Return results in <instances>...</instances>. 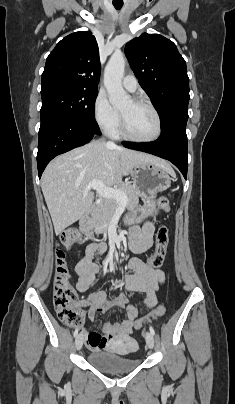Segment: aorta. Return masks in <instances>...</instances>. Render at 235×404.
Returning a JSON list of instances; mask_svg holds the SVG:
<instances>
[{"label":"aorta","instance_id":"762f6f07","mask_svg":"<svg viewBox=\"0 0 235 404\" xmlns=\"http://www.w3.org/2000/svg\"><path fill=\"white\" fill-rule=\"evenodd\" d=\"M125 59L121 53L112 54L104 72V85L109 101L115 108H122L131 102L130 96L122 87Z\"/></svg>","mask_w":235,"mask_h":404}]
</instances>
